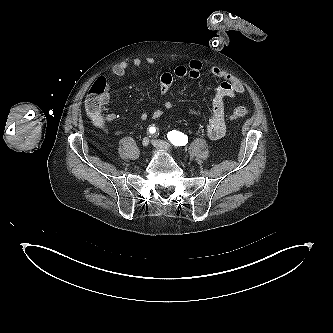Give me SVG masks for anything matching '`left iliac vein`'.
Listing matches in <instances>:
<instances>
[{
    "instance_id": "1",
    "label": "left iliac vein",
    "mask_w": 333,
    "mask_h": 333,
    "mask_svg": "<svg viewBox=\"0 0 333 333\" xmlns=\"http://www.w3.org/2000/svg\"><path fill=\"white\" fill-rule=\"evenodd\" d=\"M152 143L155 147H157L159 149H163L166 151H172L171 145L163 140H153Z\"/></svg>"
}]
</instances>
